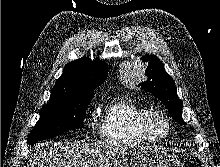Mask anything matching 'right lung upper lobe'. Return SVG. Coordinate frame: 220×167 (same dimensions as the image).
Returning <instances> with one entry per match:
<instances>
[{"instance_id": "obj_1", "label": "right lung upper lobe", "mask_w": 220, "mask_h": 167, "mask_svg": "<svg viewBox=\"0 0 220 167\" xmlns=\"http://www.w3.org/2000/svg\"><path fill=\"white\" fill-rule=\"evenodd\" d=\"M108 66L100 60L84 57L69 62L52 88L50 100L76 94L93 93L107 77Z\"/></svg>"}]
</instances>
